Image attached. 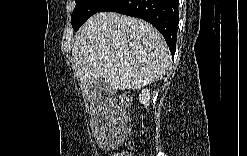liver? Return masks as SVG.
<instances>
[{"label":"liver","mask_w":247,"mask_h":156,"mask_svg":"<svg viewBox=\"0 0 247 156\" xmlns=\"http://www.w3.org/2000/svg\"><path fill=\"white\" fill-rule=\"evenodd\" d=\"M72 59L84 92L98 78L115 90L140 89L161 79L171 64L159 31L115 12L97 13L82 25L72 43Z\"/></svg>","instance_id":"6515ba94"}]
</instances>
